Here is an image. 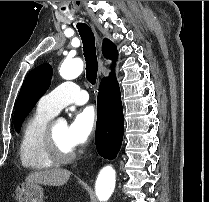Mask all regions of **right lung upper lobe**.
Listing matches in <instances>:
<instances>
[{
  "label": "right lung upper lobe",
  "mask_w": 209,
  "mask_h": 202,
  "mask_svg": "<svg viewBox=\"0 0 209 202\" xmlns=\"http://www.w3.org/2000/svg\"><path fill=\"white\" fill-rule=\"evenodd\" d=\"M102 53L107 59L113 61H115L118 56L116 46L108 39H104L103 41ZM101 83H117L114 73L112 72L109 77H104Z\"/></svg>",
  "instance_id": "obj_1"
}]
</instances>
